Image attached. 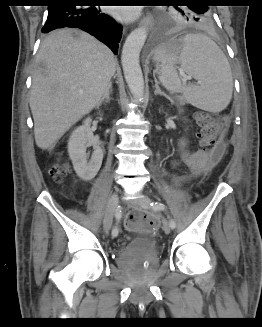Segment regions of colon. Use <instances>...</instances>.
Instances as JSON below:
<instances>
[{"label":"colon","mask_w":262,"mask_h":327,"mask_svg":"<svg viewBox=\"0 0 262 327\" xmlns=\"http://www.w3.org/2000/svg\"><path fill=\"white\" fill-rule=\"evenodd\" d=\"M195 118L200 127V146L203 151L212 148L210 153L211 162L216 165L221 162L226 153V144L220 137L221 124L213 114L204 110L198 111ZM67 170L66 166L57 164L51 169V175L55 181L60 182L67 174ZM155 224L154 218L144 213H131L125 219V226L129 230H135L140 226L150 228Z\"/></svg>","instance_id":"5ec220e1"}]
</instances>
